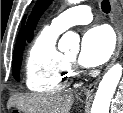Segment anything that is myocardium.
<instances>
[{
	"label": "myocardium",
	"mask_w": 123,
	"mask_h": 113,
	"mask_svg": "<svg viewBox=\"0 0 123 113\" xmlns=\"http://www.w3.org/2000/svg\"><path fill=\"white\" fill-rule=\"evenodd\" d=\"M67 61H68L69 64H72L73 63V58L67 57Z\"/></svg>",
	"instance_id": "f54148a6"
}]
</instances>
